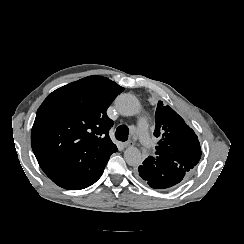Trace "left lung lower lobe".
I'll list each match as a JSON object with an SVG mask.
<instances>
[{
    "mask_svg": "<svg viewBox=\"0 0 244 244\" xmlns=\"http://www.w3.org/2000/svg\"><path fill=\"white\" fill-rule=\"evenodd\" d=\"M138 179L155 189H164L178 184L187 171L175 167V163L166 159L149 156L138 168Z\"/></svg>",
    "mask_w": 244,
    "mask_h": 244,
    "instance_id": "0a47b994",
    "label": "left lung lower lobe"
}]
</instances>
